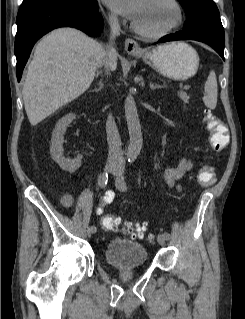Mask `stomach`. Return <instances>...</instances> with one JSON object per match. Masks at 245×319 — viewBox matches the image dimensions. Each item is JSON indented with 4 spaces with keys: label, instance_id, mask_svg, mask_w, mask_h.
I'll return each mask as SVG.
<instances>
[{
    "label": "stomach",
    "instance_id": "stomach-1",
    "mask_svg": "<svg viewBox=\"0 0 245 319\" xmlns=\"http://www.w3.org/2000/svg\"><path fill=\"white\" fill-rule=\"evenodd\" d=\"M148 65L174 80H187L199 67L196 50L185 42H172L137 54Z\"/></svg>",
    "mask_w": 245,
    "mask_h": 319
}]
</instances>
